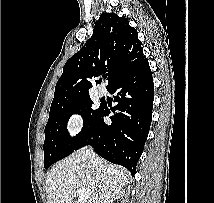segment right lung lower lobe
<instances>
[{"instance_id": "right-lung-lower-lobe-1", "label": "right lung lower lobe", "mask_w": 214, "mask_h": 203, "mask_svg": "<svg viewBox=\"0 0 214 203\" xmlns=\"http://www.w3.org/2000/svg\"><path fill=\"white\" fill-rule=\"evenodd\" d=\"M108 90L116 93L114 102L118 103L111 109V124L104 122L110 110L103 104L92 130L75 150L91 145L98 155L134 176L152 120L154 84L149 63L118 79Z\"/></svg>"}]
</instances>
